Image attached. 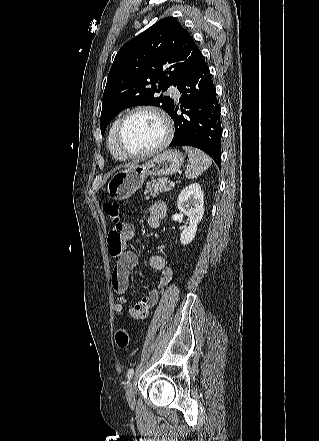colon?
I'll list each match as a JSON object with an SVG mask.
<instances>
[{
    "instance_id": "colon-1",
    "label": "colon",
    "mask_w": 319,
    "mask_h": 441,
    "mask_svg": "<svg viewBox=\"0 0 319 441\" xmlns=\"http://www.w3.org/2000/svg\"><path fill=\"white\" fill-rule=\"evenodd\" d=\"M103 211L107 218L112 222L115 226L120 224L121 213H120V205L117 202H106L103 205ZM116 343L118 347L125 349L130 344V336L127 330L121 328L116 332L115 335Z\"/></svg>"
}]
</instances>
